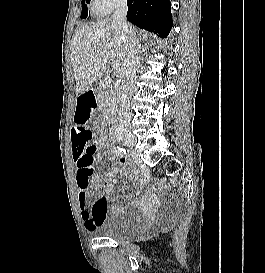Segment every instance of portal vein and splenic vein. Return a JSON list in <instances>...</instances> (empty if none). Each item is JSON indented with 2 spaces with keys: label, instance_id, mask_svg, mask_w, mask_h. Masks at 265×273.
I'll return each mask as SVG.
<instances>
[{
  "label": "portal vein and splenic vein",
  "instance_id": "obj_1",
  "mask_svg": "<svg viewBox=\"0 0 265 273\" xmlns=\"http://www.w3.org/2000/svg\"><path fill=\"white\" fill-rule=\"evenodd\" d=\"M121 65L122 64L119 61H114V62L111 63V69L113 71H118V70H120Z\"/></svg>",
  "mask_w": 265,
  "mask_h": 273
}]
</instances>
